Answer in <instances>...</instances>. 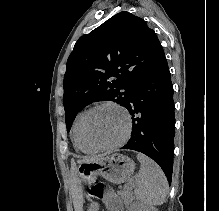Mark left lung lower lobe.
<instances>
[{"mask_svg":"<svg viewBox=\"0 0 219 211\" xmlns=\"http://www.w3.org/2000/svg\"><path fill=\"white\" fill-rule=\"evenodd\" d=\"M132 115V133L122 149L144 153L172 180L175 135L173 85L163 55L134 85L124 106Z\"/></svg>","mask_w":219,"mask_h":211,"instance_id":"0a47b994","label":"left lung lower lobe"}]
</instances>
